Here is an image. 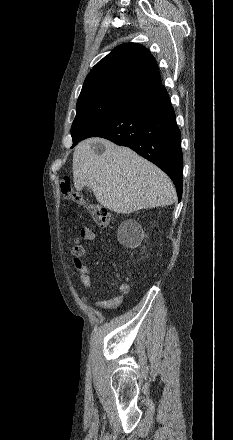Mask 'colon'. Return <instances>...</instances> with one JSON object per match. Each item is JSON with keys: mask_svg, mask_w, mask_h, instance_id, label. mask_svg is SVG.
Instances as JSON below:
<instances>
[{"mask_svg": "<svg viewBox=\"0 0 233 440\" xmlns=\"http://www.w3.org/2000/svg\"><path fill=\"white\" fill-rule=\"evenodd\" d=\"M60 191L63 197L70 199L71 201L86 208L96 224L101 228H107L112 223V217L109 211L99 205L90 203L83 199L77 192L71 187V180L69 177H64L60 181Z\"/></svg>", "mask_w": 233, "mask_h": 440, "instance_id": "obj_1", "label": "colon"}]
</instances>
